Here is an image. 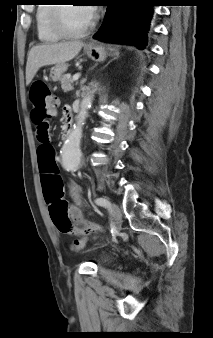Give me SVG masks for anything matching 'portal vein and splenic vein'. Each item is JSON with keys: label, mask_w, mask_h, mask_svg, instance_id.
<instances>
[{"label": "portal vein and splenic vein", "mask_w": 213, "mask_h": 338, "mask_svg": "<svg viewBox=\"0 0 213 338\" xmlns=\"http://www.w3.org/2000/svg\"><path fill=\"white\" fill-rule=\"evenodd\" d=\"M80 75H81L80 73L74 74L72 77V81H77L80 78Z\"/></svg>", "instance_id": "18ae733b"}]
</instances>
